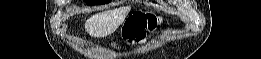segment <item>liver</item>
Returning a JSON list of instances; mask_svg holds the SVG:
<instances>
[{"instance_id":"1","label":"liver","mask_w":261,"mask_h":59,"mask_svg":"<svg viewBox=\"0 0 261 59\" xmlns=\"http://www.w3.org/2000/svg\"><path fill=\"white\" fill-rule=\"evenodd\" d=\"M124 18V15L115 11L97 13L86 21L85 29L93 37L108 36L117 30Z\"/></svg>"}]
</instances>
